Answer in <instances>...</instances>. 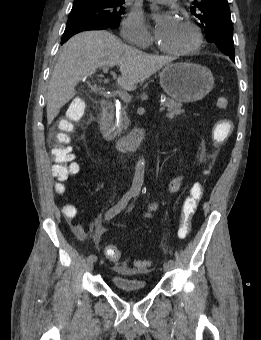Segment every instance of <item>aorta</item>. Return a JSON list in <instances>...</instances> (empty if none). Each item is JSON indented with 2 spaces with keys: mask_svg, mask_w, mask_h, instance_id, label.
<instances>
[{
  "mask_svg": "<svg viewBox=\"0 0 261 340\" xmlns=\"http://www.w3.org/2000/svg\"><path fill=\"white\" fill-rule=\"evenodd\" d=\"M144 168H145V159L142 156L141 158H139L137 162L134 178L132 181L131 188L129 190V193L132 195H138L140 193V190L144 182V172H145Z\"/></svg>",
  "mask_w": 261,
  "mask_h": 340,
  "instance_id": "obj_1",
  "label": "aorta"
}]
</instances>
